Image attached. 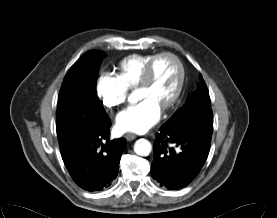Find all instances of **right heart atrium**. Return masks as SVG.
Returning <instances> with one entry per match:
<instances>
[{
	"label": "right heart atrium",
	"instance_id": "d8ad5b80",
	"mask_svg": "<svg viewBox=\"0 0 277 218\" xmlns=\"http://www.w3.org/2000/svg\"><path fill=\"white\" fill-rule=\"evenodd\" d=\"M96 90L102 103L113 108L123 104L129 95V87L122 80L111 72H102L97 80Z\"/></svg>",
	"mask_w": 277,
	"mask_h": 218
}]
</instances>
